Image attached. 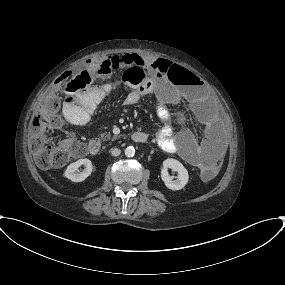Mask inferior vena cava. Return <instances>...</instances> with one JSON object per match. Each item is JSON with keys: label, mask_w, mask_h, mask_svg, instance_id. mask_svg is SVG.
I'll list each match as a JSON object with an SVG mask.
<instances>
[{"label": "inferior vena cava", "mask_w": 285, "mask_h": 285, "mask_svg": "<svg viewBox=\"0 0 285 285\" xmlns=\"http://www.w3.org/2000/svg\"><path fill=\"white\" fill-rule=\"evenodd\" d=\"M121 154V150L120 149H118V148H112L111 149V155L112 156H119Z\"/></svg>", "instance_id": "1"}]
</instances>
